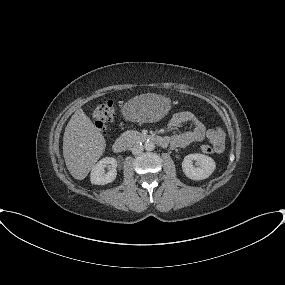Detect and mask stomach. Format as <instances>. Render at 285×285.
Here are the masks:
<instances>
[{"label":"stomach","instance_id":"stomach-1","mask_svg":"<svg viewBox=\"0 0 285 285\" xmlns=\"http://www.w3.org/2000/svg\"><path fill=\"white\" fill-rule=\"evenodd\" d=\"M171 109L168 97L155 93H146L130 99L124 104L122 113L125 118L138 122H156Z\"/></svg>","mask_w":285,"mask_h":285}]
</instances>
